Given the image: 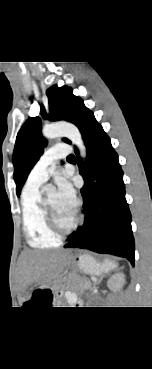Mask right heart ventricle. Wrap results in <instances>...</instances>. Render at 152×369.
Returning a JSON list of instances; mask_svg holds the SVG:
<instances>
[{"mask_svg":"<svg viewBox=\"0 0 152 369\" xmlns=\"http://www.w3.org/2000/svg\"><path fill=\"white\" fill-rule=\"evenodd\" d=\"M39 188L40 186L26 184L21 195L22 222L26 239L33 248L56 247L60 238L47 225Z\"/></svg>","mask_w":152,"mask_h":369,"instance_id":"right-heart-ventricle-1","label":"right heart ventricle"}]
</instances>
